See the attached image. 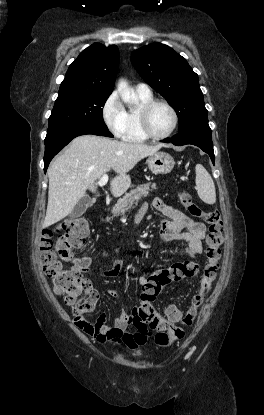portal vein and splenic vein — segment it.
<instances>
[{"mask_svg":"<svg viewBox=\"0 0 264 415\" xmlns=\"http://www.w3.org/2000/svg\"><path fill=\"white\" fill-rule=\"evenodd\" d=\"M107 182H108V175H107V174H104V175L100 178V180L98 181V185L102 187V186L106 185V184H107Z\"/></svg>","mask_w":264,"mask_h":415,"instance_id":"portal-vein-and-splenic-vein-1","label":"portal vein and splenic vein"}]
</instances>
